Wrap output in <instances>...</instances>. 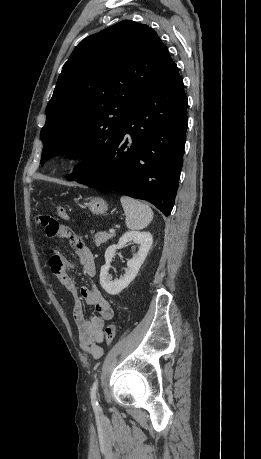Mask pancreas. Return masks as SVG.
<instances>
[{"mask_svg": "<svg viewBox=\"0 0 261 459\" xmlns=\"http://www.w3.org/2000/svg\"><path fill=\"white\" fill-rule=\"evenodd\" d=\"M94 233V231H91ZM114 237V233H106V232H98L95 234V244L96 246H100L103 243H106L109 239Z\"/></svg>", "mask_w": 261, "mask_h": 459, "instance_id": "obj_1", "label": "pancreas"}]
</instances>
